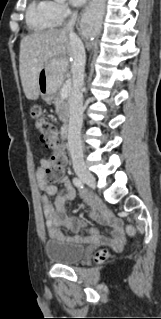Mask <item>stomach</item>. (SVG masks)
I'll list each match as a JSON object with an SVG mask.
<instances>
[{"instance_id": "obj_1", "label": "stomach", "mask_w": 161, "mask_h": 319, "mask_svg": "<svg viewBox=\"0 0 161 319\" xmlns=\"http://www.w3.org/2000/svg\"><path fill=\"white\" fill-rule=\"evenodd\" d=\"M64 69L57 60L48 61L38 75L39 91L43 98L52 97L62 84Z\"/></svg>"}]
</instances>
